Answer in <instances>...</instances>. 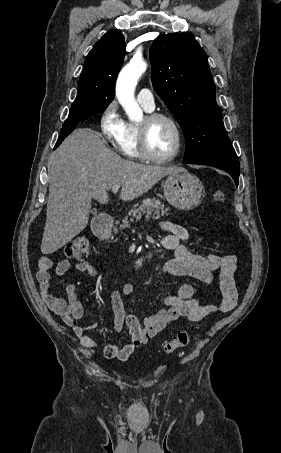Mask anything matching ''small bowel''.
Here are the masks:
<instances>
[{
  "mask_svg": "<svg viewBox=\"0 0 281 453\" xmlns=\"http://www.w3.org/2000/svg\"><path fill=\"white\" fill-rule=\"evenodd\" d=\"M161 228L174 236L165 237L163 244L155 245V250L174 252L176 259L165 262L160 270L173 277H194L206 288L215 285L220 286L222 302L219 305H203L199 301V295L194 296V289L189 285L179 287L175 295L166 298L167 308L149 315L143 322L131 314L129 307L125 304L123 295L133 293V286L129 283L121 285V292L110 291V300L113 312V329L117 332L128 328L130 337L127 343L108 344L105 346V355L109 359L123 361L128 358L148 339L162 331L170 322L181 317L188 318L191 322H201L207 315L217 313H229L237 304L238 293L236 284L237 256L233 254H197L192 253L185 245L189 239V232L183 226L164 221ZM53 261L48 256H41L36 276L42 297L50 310L64 322L73 328L76 337L86 349H95L101 346L102 340L86 334V329L78 325L84 313V306L77 296V286L74 283H67L64 286L66 299L54 297L50 290V269ZM70 268L67 259L58 261L54 268V275L58 278L64 276ZM220 269V279L217 280L215 270ZM76 270L86 272L90 278L97 276L98 272L94 265L81 262L76 265ZM98 325L93 324L89 328L97 329Z\"/></svg>",
  "mask_w": 281,
  "mask_h": 453,
  "instance_id": "obj_1",
  "label": "small bowel"
}]
</instances>
